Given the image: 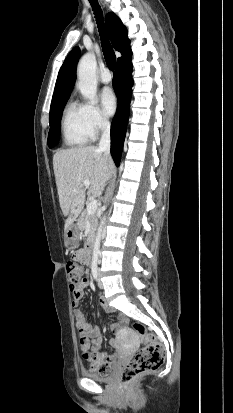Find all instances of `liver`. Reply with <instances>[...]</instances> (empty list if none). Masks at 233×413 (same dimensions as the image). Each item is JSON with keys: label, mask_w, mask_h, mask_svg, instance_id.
<instances>
[{"label": "liver", "mask_w": 233, "mask_h": 413, "mask_svg": "<svg viewBox=\"0 0 233 413\" xmlns=\"http://www.w3.org/2000/svg\"><path fill=\"white\" fill-rule=\"evenodd\" d=\"M112 168L111 158L106 157L96 146L63 149L54 154L53 169L60 208L67 217L64 231L83 209L86 198L83 181L91 182L87 195L98 197L104 190Z\"/></svg>", "instance_id": "1"}]
</instances>
